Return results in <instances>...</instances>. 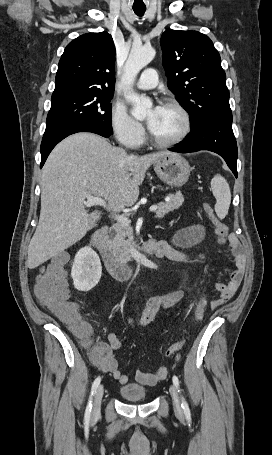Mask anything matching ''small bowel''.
<instances>
[{
	"label": "small bowel",
	"instance_id": "obj_1",
	"mask_svg": "<svg viewBox=\"0 0 272 455\" xmlns=\"http://www.w3.org/2000/svg\"><path fill=\"white\" fill-rule=\"evenodd\" d=\"M205 231L200 225L191 226L180 230L173 238L172 243L164 240L152 241L155 246V255L160 258H168L176 262H193L200 261L204 258L203 255L192 256L184 252V249L190 248L204 238ZM228 243L235 263V269L231 272L230 279L227 283H216L215 290L219 293V299L212 302V308H217L233 297L238 290L246 268V257L241 248L238 238L235 234L228 236ZM184 291L171 290L161 294L152 296L146 303L142 325L150 323L154 315L165 309H170L176 306L184 297ZM102 355L99 358L93 357L94 362L104 371L110 372L120 384L129 382L128 376L125 375L119 368L118 362L114 356V350L121 347V341L115 333L108 335V343H102L100 346ZM180 359L177 354L176 362ZM167 369L160 366L154 372L137 370L135 380L143 385L151 386L165 379Z\"/></svg>",
	"mask_w": 272,
	"mask_h": 455
}]
</instances>
